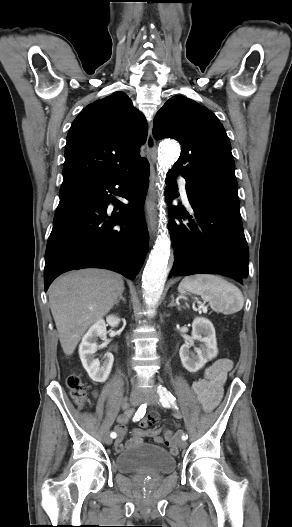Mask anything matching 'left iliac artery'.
Returning a JSON list of instances; mask_svg holds the SVG:
<instances>
[{"label":"left iliac artery","mask_w":292,"mask_h":527,"mask_svg":"<svg viewBox=\"0 0 292 527\" xmlns=\"http://www.w3.org/2000/svg\"><path fill=\"white\" fill-rule=\"evenodd\" d=\"M157 392L160 397L159 401L163 407L169 408L172 406L173 408H177L176 403H175V397L172 395L170 391L167 390L166 387L159 385ZM187 438H188L187 434L182 435V440H187Z\"/></svg>","instance_id":"left-iliac-artery-1"}]
</instances>
